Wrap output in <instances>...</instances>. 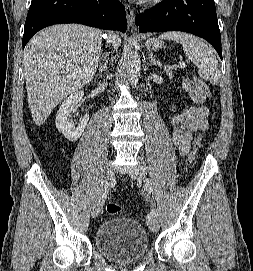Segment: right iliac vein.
<instances>
[{"label":"right iliac vein","mask_w":253,"mask_h":271,"mask_svg":"<svg viewBox=\"0 0 253 271\" xmlns=\"http://www.w3.org/2000/svg\"><path fill=\"white\" fill-rule=\"evenodd\" d=\"M114 180V168L108 165L103 175L97 198L93 205L92 217L96 218L103 209L108 190Z\"/></svg>","instance_id":"1"}]
</instances>
